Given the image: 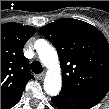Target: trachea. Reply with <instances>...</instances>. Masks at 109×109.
I'll use <instances>...</instances> for the list:
<instances>
[{"instance_id": "1", "label": "trachea", "mask_w": 109, "mask_h": 109, "mask_svg": "<svg viewBox=\"0 0 109 109\" xmlns=\"http://www.w3.org/2000/svg\"><path fill=\"white\" fill-rule=\"evenodd\" d=\"M31 70L35 73V74H39L42 72L43 68L40 62L38 61H34L31 63Z\"/></svg>"}]
</instances>
